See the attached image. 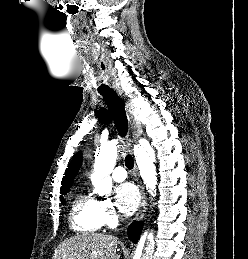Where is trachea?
<instances>
[{"mask_svg":"<svg viewBox=\"0 0 248 259\" xmlns=\"http://www.w3.org/2000/svg\"><path fill=\"white\" fill-rule=\"evenodd\" d=\"M101 95L108 106L119 135L124 138L128 131V120L121 99L114 91L104 92ZM125 165L128 169L133 168L134 161L130 154L125 157Z\"/></svg>","mask_w":248,"mask_h":259,"instance_id":"1","label":"trachea"}]
</instances>
